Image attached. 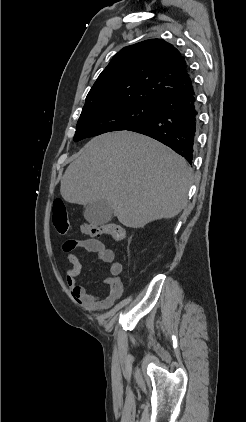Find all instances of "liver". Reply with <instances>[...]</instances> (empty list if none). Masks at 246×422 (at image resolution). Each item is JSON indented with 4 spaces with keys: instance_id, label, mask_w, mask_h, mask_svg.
Segmentation results:
<instances>
[{
    "instance_id": "1",
    "label": "liver",
    "mask_w": 246,
    "mask_h": 422,
    "mask_svg": "<svg viewBox=\"0 0 246 422\" xmlns=\"http://www.w3.org/2000/svg\"><path fill=\"white\" fill-rule=\"evenodd\" d=\"M192 169L162 143L130 131L91 139L67 167L60 192L65 201L87 205L104 199L119 222L142 228L173 218L187 203Z\"/></svg>"
}]
</instances>
